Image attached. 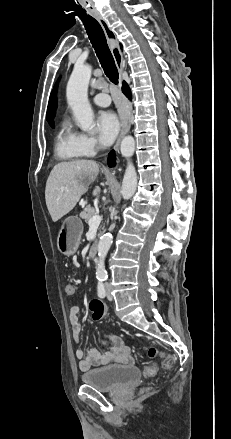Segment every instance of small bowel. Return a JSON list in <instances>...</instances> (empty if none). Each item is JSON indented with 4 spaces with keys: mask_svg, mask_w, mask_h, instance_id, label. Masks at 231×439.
<instances>
[{
    "mask_svg": "<svg viewBox=\"0 0 231 439\" xmlns=\"http://www.w3.org/2000/svg\"><path fill=\"white\" fill-rule=\"evenodd\" d=\"M69 322L74 341L78 344L82 331L81 309L79 306L70 308ZM104 345L106 346L105 350L91 348L85 352L80 347L76 349L75 356L79 361L81 371H87L93 366H104L111 363L131 364L133 362L131 350L121 337L110 335Z\"/></svg>",
    "mask_w": 231,
    "mask_h": 439,
    "instance_id": "obj_1",
    "label": "small bowel"
}]
</instances>
